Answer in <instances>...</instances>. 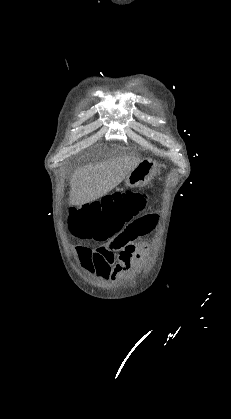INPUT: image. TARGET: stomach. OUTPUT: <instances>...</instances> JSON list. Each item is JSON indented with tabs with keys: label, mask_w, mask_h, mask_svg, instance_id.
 I'll list each match as a JSON object with an SVG mask.
<instances>
[{
	"label": "stomach",
	"mask_w": 231,
	"mask_h": 419,
	"mask_svg": "<svg viewBox=\"0 0 231 419\" xmlns=\"http://www.w3.org/2000/svg\"><path fill=\"white\" fill-rule=\"evenodd\" d=\"M156 162L151 159L142 160L126 177L125 185L131 188H140L147 185L156 175Z\"/></svg>",
	"instance_id": "obj_1"
}]
</instances>
